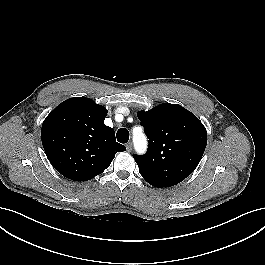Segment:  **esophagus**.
I'll use <instances>...</instances> for the list:
<instances>
[{
	"instance_id": "34e87169",
	"label": "esophagus",
	"mask_w": 265,
	"mask_h": 265,
	"mask_svg": "<svg viewBox=\"0 0 265 265\" xmlns=\"http://www.w3.org/2000/svg\"><path fill=\"white\" fill-rule=\"evenodd\" d=\"M126 149H127L128 152H131L132 151V142H128L126 144Z\"/></svg>"
}]
</instances>
